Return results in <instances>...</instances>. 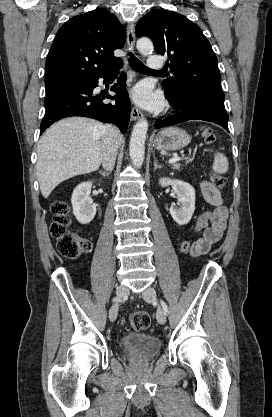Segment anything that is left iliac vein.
<instances>
[{"label": "left iliac vein", "instance_id": "obj_1", "mask_svg": "<svg viewBox=\"0 0 272 417\" xmlns=\"http://www.w3.org/2000/svg\"><path fill=\"white\" fill-rule=\"evenodd\" d=\"M142 297L146 302L154 303L157 301V294L153 287H148L142 292ZM156 319L159 324H165L166 315L161 307H158Z\"/></svg>", "mask_w": 272, "mask_h": 417}]
</instances>
